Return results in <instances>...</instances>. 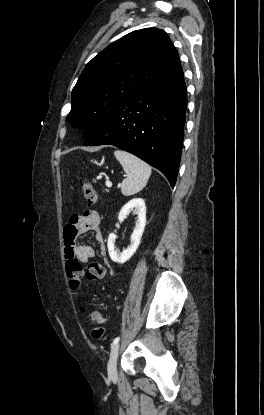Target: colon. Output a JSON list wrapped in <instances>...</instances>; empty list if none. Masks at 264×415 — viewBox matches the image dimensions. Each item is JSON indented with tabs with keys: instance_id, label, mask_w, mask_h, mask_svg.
Returning <instances> with one entry per match:
<instances>
[{
	"instance_id": "colon-1",
	"label": "colon",
	"mask_w": 264,
	"mask_h": 415,
	"mask_svg": "<svg viewBox=\"0 0 264 415\" xmlns=\"http://www.w3.org/2000/svg\"><path fill=\"white\" fill-rule=\"evenodd\" d=\"M81 188L83 195L88 202L89 206H92L98 201V194L93 185L88 181H82ZM85 272L87 279L89 280H101L105 275L104 267L96 262H90L85 269L77 261H70L67 264V275L70 277V285L73 289H78L81 283L82 274ZM83 312H86L87 322L93 326L91 335L94 339L99 340L103 337L104 331L98 326L103 322V316L98 311H87L84 305L81 306Z\"/></svg>"
}]
</instances>
